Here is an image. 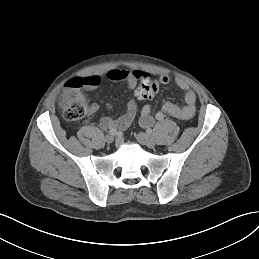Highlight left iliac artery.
I'll use <instances>...</instances> for the list:
<instances>
[{"label":"left iliac artery","instance_id":"obj_1","mask_svg":"<svg viewBox=\"0 0 259 259\" xmlns=\"http://www.w3.org/2000/svg\"><path fill=\"white\" fill-rule=\"evenodd\" d=\"M165 115L162 112H158L155 116V118L159 121L163 120Z\"/></svg>","mask_w":259,"mask_h":259}]
</instances>
